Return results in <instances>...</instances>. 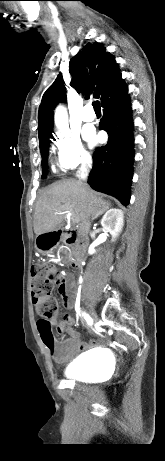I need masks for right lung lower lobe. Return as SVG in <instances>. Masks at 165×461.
Wrapping results in <instances>:
<instances>
[{
  "instance_id": "obj_1",
  "label": "right lung lower lobe",
  "mask_w": 165,
  "mask_h": 461,
  "mask_svg": "<svg viewBox=\"0 0 165 461\" xmlns=\"http://www.w3.org/2000/svg\"><path fill=\"white\" fill-rule=\"evenodd\" d=\"M103 108L99 129L105 130L109 139L94 152L88 183L94 190L110 194L127 205L134 161L130 97L126 92Z\"/></svg>"
}]
</instances>
